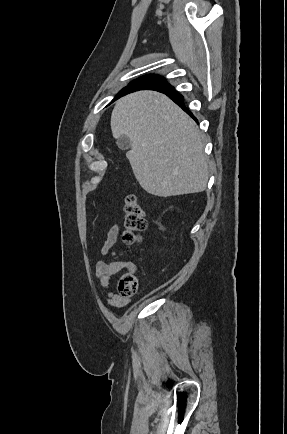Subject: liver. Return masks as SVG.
<instances>
[{"label":"liver","instance_id":"6515ba94","mask_svg":"<svg viewBox=\"0 0 287 434\" xmlns=\"http://www.w3.org/2000/svg\"><path fill=\"white\" fill-rule=\"evenodd\" d=\"M114 138L131 141L127 158L149 194L170 197L203 192L208 165L195 122L166 95L140 91L119 99L112 111Z\"/></svg>","mask_w":287,"mask_h":434}]
</instances>
